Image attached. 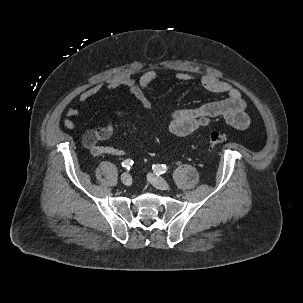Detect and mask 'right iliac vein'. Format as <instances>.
<instances>
[{
	"instance_id": "63e3f726",
	"label": "right iliac vein",
	"mask_w": 303,
	"mask_h": 303,
	"mask_svg": "<svg viewBox=\"0 0 303 303\" xmlns=\"http://www.w3.org/2000/svg\"><path fill=\"white\" fill-rule=\"evenodd\" d=\"M121 181L124 185L129 186L132 182V178L129 173L125 172L121 175Z\"/></svg>"
}]
</instances>
